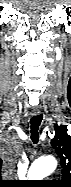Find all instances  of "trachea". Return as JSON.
Returning a JSON list of instances; mask_svg holds the SVG:
<instances>
[{"instance_id": "1", "label": "trachea", "mask_w": 71, "mask_h": 187, "mask_svg": "<svg viewBox=\"0 0 71 187\" xmlns=\"http://www.w3.org/2000/svg\"><path fill=\"white\" fill-rule=\"evenodd\" d=\"M43 119V116L41 114L35 115L31 118L30 123H31V139L34 144H37L38 139H39V126L41 124V121Z\"/></svg>"}]
</instances>
